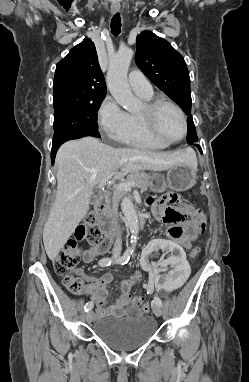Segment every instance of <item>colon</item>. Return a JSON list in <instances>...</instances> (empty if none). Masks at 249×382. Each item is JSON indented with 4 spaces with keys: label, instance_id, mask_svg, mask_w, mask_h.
Segmentation results:
<instances>
[{
    "label": "colon",
    "instance_id": "obj_1",
    "mask_svg": "<svg viewBox=\"0 0 249 382\" xmlns=\"http://www.w3.org/2000/svg\"><path fill=\"white\" fill-rule=\"evenodd\" d=\"M189 213L197 222L200 231L204 232L206 229V214L201 209L190 206ZM168 216H171L168 213ZM77 240H85L91 245H98L103 242V234L98 225V219L95 213H89L85 216L83 223L78 227L76 239L70 240L61 249V251L53 259V266L55 272L62 276L63 283L69 292L79 295L84 290V284L80 278L73 275L79 258L80 251L77 246ZM200 253L199 247L191 249L189 255L195 258ZM134 305L141 307L143 310H148V305L144 301V297L138 295L134 298Z\"/></svg>",
    "mask_w": 249,
    "mask_h": 382
}]
</instances>
